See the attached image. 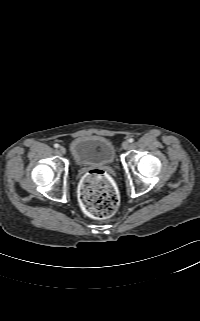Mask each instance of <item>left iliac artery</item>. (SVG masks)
<instances>
[{"instance_id":"left-iliac-artery-1","label":"left iliac artery","mask_w":200,"mask_h":321,"mask_svg":"<svg viewBox=\"0 0 200 321\" xmlns=\"http://www.w3.org/2000/svg\"><path fill=\"white\" fill-rule=\"evenodd\" d=\"M130 143H132L133 141H134V139L133 138H129V140H128Z\"/></svg>"}]
</instances>
